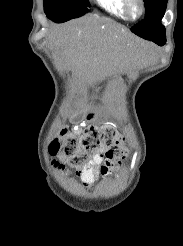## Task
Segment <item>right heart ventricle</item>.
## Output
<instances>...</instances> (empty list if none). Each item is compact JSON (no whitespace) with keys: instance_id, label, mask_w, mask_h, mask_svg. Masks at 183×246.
<instances>
[{"instance_id":"right-heart-ventricle-1","label":"right heart ventricle","mask_w":183,"mask_h":246,"mask_svg":"<svg viewBox=\"0 0 183 246\" xmlns=\"http://www.w3.org/2000/svg\"><path fill=\"white\" fill-rule=\"evenodd\" d=\"M96 3L111 15L126 20L128 19L124 10V0H95Z\"/></svg>"}]
</instances>
